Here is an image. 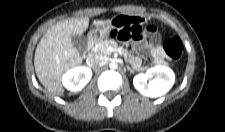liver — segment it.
I'll list each match as a JSON object with an SVG mask.
<instances>
[{
	"label": "liver",
	"instance_id": "liver-1",
	"mask_svg": "<svg viewBox=\"0 0 225 132\" xmlns=\"http://www.w3.org/2000/svg\"><path fill=\"white\" fill-rule=\"evenodd\" d=\"M111 20H94L99 27ZM89 26V18H72L56 23L39 41L35 55V72L41 84L52 94L61 96L63 74L82 63L83 58L71 42L72 35H82Z\"/></svg>",
	"mask_w": 225,
	"mask_h": 132
}]
</instances>
